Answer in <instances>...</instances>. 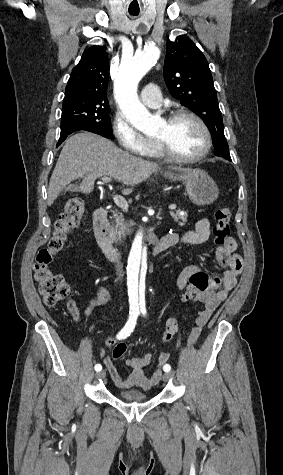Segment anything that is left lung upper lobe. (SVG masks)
Here are the masks:
<instances>
[{"instance_id": "1", "label": "left lung upper lobe", "mask_w": 283, "mask_h": 475, "mask_svg": "<svg viewBox=\"0 0 283 475\" xmlns=\"http://www.w3.org/2000/svg\"><path fill=\"white\" fill-rule=\"evenodd\" d=\"M167 42L164 78L171 95L197 114L211 135L224 136L211 71L203 53L184 36Z\"/></svg>"}]
</instances>
